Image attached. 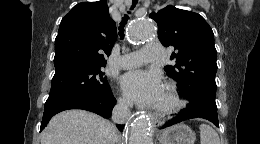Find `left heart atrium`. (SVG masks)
Masks as SVG:
<instances>
[{
    "mask_svg": "<svg viewBox=\"0 0 260 144\" xmlns=\"http://www.w3.org/2000/svg\"><path fill=\"white\" fill-rule=\"evenodd\" d=\"M122 86L131 100L149 106H156L164 90L161 79L156 73L142 70L125 74Z\"/></svg>",
    "mask_w": 260,
    "mask_h": 144,
    "instance_id": "left-heart-atrium-1",
    "label": "left heart atrium"
}]
</instances>
